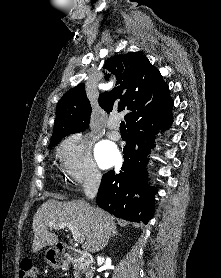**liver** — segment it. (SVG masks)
Returning a JSON list of instances; mask_svg holds the SVG:
<instances>
[{"label":"liver","instance_id":"1","mask_svg":"<svg viewBox=\"0 0 221 278\" xmlns=\"http://www.w3.org/2000/svg\"><path fill=\"white\" fill-rule=\"evenodd\" d=\"M71 223L83 235V249L98 252L117 233L114 218L104 210L82 200L61 202L50 199L43 203L33 217V252L56 245L58 237L48 231L51 224Z\"/></svg>","mask_w":221,"mask_h":278}]
</instances>
